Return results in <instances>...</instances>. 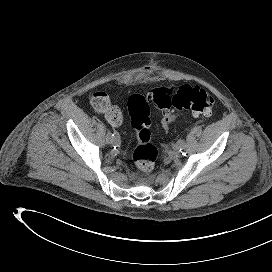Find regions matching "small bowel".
I'll return each mask as SVG.
<instances>
[{"label": "small bowel", "instance_id": "obj_1", "mask_svg": "<svg viewBox=\"0 0 272 272\" xmlns=\"http://www.w3.org/2000/svg\"><path fill=\"white\" fill-rule=\"evenodd\" d=\"M100 97L104 98L106 103L103 107L97 106L96 104L93 103L95 108L105 113L112 125L119 126L122 121L119 111L114 106L110 105L106 94L98 93L95 95L94 98H100ZM178 117L179 115L173 110L165 112L161 119L162 127L165 130H169V128L176 122Z\"/></svg>", "mask_w": 272, "mask_h": 272}]
</instances>
